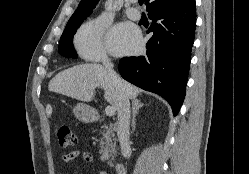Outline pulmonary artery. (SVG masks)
I'll return each mask as SVG.
<instances>
[{
  "instance_id": "e3ab8cb5",
  "label": "pulmonary artery",
  "mask_w": 249,
  "mask_h": 174,
  "mask_svg": "<svg viewBox=\"0 0 249 174\" xmlns=\"http://www.w3.org/2000/svg\"><path fill=\"white\" fill-rule=\"evenodd\" d=\"M134 2L135 0H130V3H134ZM126 14L130 19L135 20V21H138L141 18L140 11L135 7H128L126 9Z\"/></svg>"
}]
</instances>
